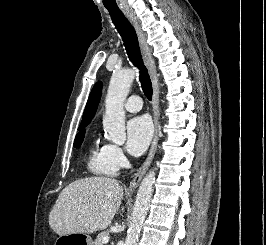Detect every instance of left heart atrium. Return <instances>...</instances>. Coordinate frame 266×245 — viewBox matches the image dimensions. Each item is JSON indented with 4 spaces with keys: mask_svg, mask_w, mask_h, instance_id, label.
<instances>
[{
    "mask_svg": "<svg viewBox=\"0 0 266 245\" xmlns=\"http://www.w3.org/2000/svg\"><path fill=\"white\" fill-rule=\"evenodd\" d=\"M153 135L151 121L145 116L133 118L126 126V148L138 156L144 152Z\"/></svg>",
    "mask_w": 266,
    "mask_h": 245,
    "instance_id": "obj_1",
    "label": "left heart atrium"
}]
</instances>
